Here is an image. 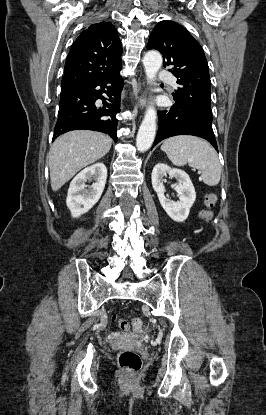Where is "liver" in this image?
Segmentation results:
<instances>
[{
    "mask_svg": "<svg viewBox=\"0 0 266 415\" xmlns=\"http://www.w3.org/2000/svg\"><path fill=\"white\" fill-rule=\"evenodd\" d=\"M112 139L99 132L77 130L58 137L48 154L50 181L58 191L82 168L105 156Z\"/></svg>",
    "mask_w": 266,
    "mask_h": 415,
    "instance_id": "6515ba94",
    "label": "liver"
}]
</instances>
